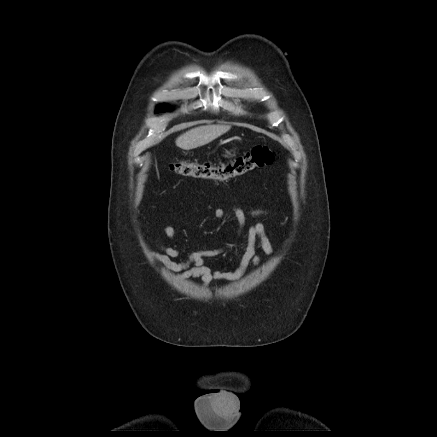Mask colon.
<instances>
[{"label": "colon", "instance_id": "colon-1", "mask_svg": "<svg viewBox=\"0 0 437 437\" xmlns=\"http://www.w3.org/2000/svg\"><path fill=\"white\" fill-rule=\"evenodd\" d=\"M275 160V153L267 146L257 145L243 155L218 162H190L179 160L169 165L176 174L205 180L225 181L242 176L256 169L271 165Z\"/></svg>", "mask_w": 437, "mask_h": 437}]
</instances>
